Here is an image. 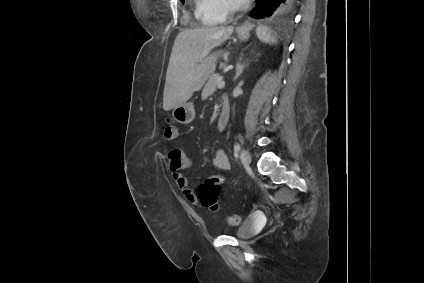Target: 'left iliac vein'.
<instances>
[{"label": "left iliac vein", "mask_w": 424, "mask_h": 283, "mask_svg": "<svg viewBox=\"0 0 424 283\" xmlns=\"http://www.w3.org/2000/svg\"><path fill=\"white\" fill-rule=\"evenodd\" d=\"M240 159L245 166H248L251 163L250 153L245 149L241 151Z\"/></svg>", "instance_id": "1"}]
</instances>
